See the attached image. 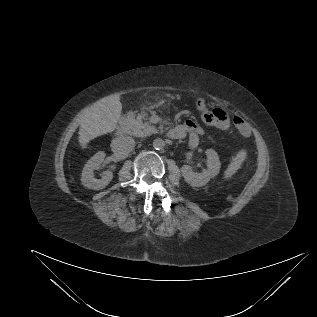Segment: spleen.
Segmentation results:
<instances>
[{
	"label": "spleen",
	"mask_w": 317,
	"mask_h": 317,
	"mask_svg": "<svg viewBox=\"0 0 317 317\" xmlns=\"http://www.w3.org/2000/svg\"><path fill=\"white\" fill-rule=\"evenodd\" d=\"M245 155V151H241L235 158L232 159L224 173V178H229L236 173V171L241 167V164L245 159Z\"/></svg>",
	"instance_id": "3e777b00"
}]
</instances>
